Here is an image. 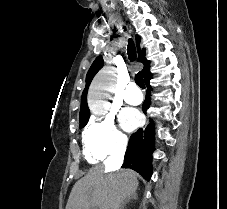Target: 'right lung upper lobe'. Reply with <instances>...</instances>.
<instances>
[{
    "mask_svg": "<svg viewBox=\"0 0 227 209\" xmlns=\"http://www.w3.org/2000/svg\"><path fill=\"white\" fill-rule=\"evenodd\" d=\"M139 44H140V37L136 35V45L138 49V61L142 62L144 64V68L142 70V74L144 79L149 77L151 75L149 71V64L150 62L145 58V49L140 51L139 49ZM104 62L102 56H98L93 64L91 65L87 75H86V87L82 93V98H81V109H80V118H87L89 117V108L87 105V91L89 88V85L95 76V74L102 68Z\"/></svg>",
    "mask_w": 227,
    "mask_h": 209,
    "instance_id": "1",
    "label": "right lung upper lobe"
}]
</instances>
